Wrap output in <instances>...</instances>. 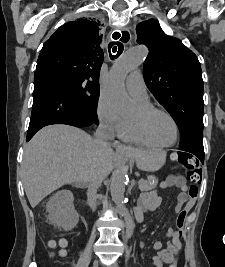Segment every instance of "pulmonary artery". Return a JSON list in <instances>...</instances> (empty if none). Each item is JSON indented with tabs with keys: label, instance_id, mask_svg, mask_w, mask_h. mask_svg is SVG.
Segmentation results:
<instances>
[{
	"label": "pulmonary artery",
	"instance_id": "1",
	"mask_svg": "<svg viewBox=\"0 0 225 267\" xmlns=\"http://www.w3.org/2000/svg\"><path fill=\"white\" fill-rule=\"evenodd\" d=\"M126 88L130 95L138 102L148 101V94L143 75L140 71L132 72L125 81Z\"/></svg>",
	"mask_w": 225,
	"mask_h": 267
}]
</instances>
